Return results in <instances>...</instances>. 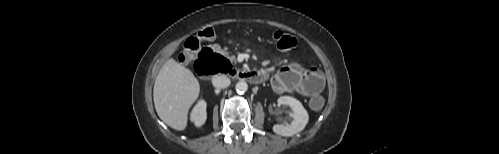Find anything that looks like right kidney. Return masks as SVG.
Returning a JSON list of instances; mask_svg holds the SVG:
<instances>
[{
    "label": "right kidney",
    "instance_id": "ca27d5eb",
    "mask_svg": "<svg viewBox=\"0 0 499 154\" xmlns=\"http://www.w3.org/2000/svg\"><path fill=\"white\" fill-rule=\"evenodd\" d=\"M206 118H207L206 102L204 100H201L194 107L191 113V121L194 122V124L197 127H200L205 123Z\"/></svg>",
    "mask_w": 499,
    "mask_h": 154
}]
</instances>
